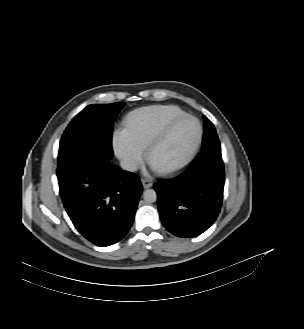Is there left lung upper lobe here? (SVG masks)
Listing matches in <instances>:
<instances>
[{"label":"left lung upper lobe","instance_id":"5c2ea615","mask_svg":"<svg viewBox=\"0 0 304 329\" xmlns=\"http://www.w3.org/2000/svg\"><path fill=\"white\" fill-rule=\"evenodd\" d=\"M216 136L217 134L214 125L206 116H204V138H203L202 147Z\"/></svg>","mask_w":304,"mask_h":329}]
</instances>
